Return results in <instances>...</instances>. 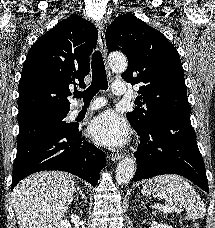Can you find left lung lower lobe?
Here are the masks:
<instances>
[{
  "label": "left lung lower lobe",
  "mask_w": 215,
  "mask_h": 228,
  "mask_svg": "<svg viewBox=\"0 0 215 228\" xmlns=\"http://www.w3.org/2000/svg\"><path fill=\"white\" fill-rule=\"evenodd\" d=\"M138 135L140 146L135 153L137 169L132 181L178 174L209 193L205 165L190 115L158 118L147 131Z\"/></svg>",
  "instance_id": "obj_1"
}]
</instances>
